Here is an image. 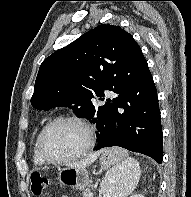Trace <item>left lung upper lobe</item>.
I'll list each match as a JSON object with an SVG mask.
<instances>
[{
  "label": "left lung upper lobe",
  "mask_w": 191,
  "mask_h": 197,
  "mask_svg": "<svg viewBox=\"0 0 191 197\" xmlns=\"http://www.w3.org/2000/svg\"><path fill=\"white\" fill-rule=\"evenodd\" d=\"M145 67L133 37L119 26L102 24L44 60L31 104L38 110L69 107L78 117L92 120L102 106L91 99L104 97L103 89L111 91L125 71Z\"/></svg>",
  "instance_id": "5c2ea615"
}]
</instances>
